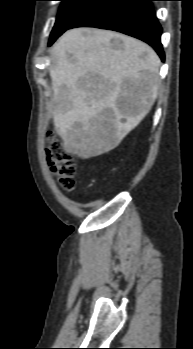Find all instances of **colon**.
<instances>
[{
  "label": "colon",
  "instance_id": "5ec220e1",
  "mask_svg": "<svg viewBox=\"0 0 193 349\" xmlns=\"http://www.w3.org/2000/svg\"><path fill=\"white\" fill-rule=\"evenodd\" d=\"M46 155L49 168L60 186L67 191L73 190L76 164L73 156L65 150L62 141L52 135L48 136Z\"/></svg>",
  "mask_w": 193,
  "mask_h": 349
}]
</instances>
